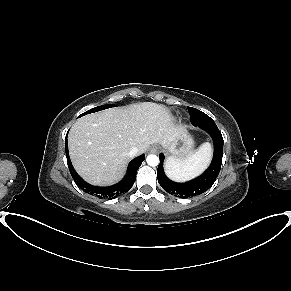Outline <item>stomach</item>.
Returning a JSON list of instances; mask_svg holds the SVG:
<instances>
[{"label":"stomach","mask_w":291,"mask_h":291,"mask_svg":"<svg viewBox=\"0 0 291 291\" xmlns=\"http://www.w3.org/2000/svg\"><path fill=\"white\" fill-rule=\"evenodd\" d=\"M193 147V139L186 133L176 138L172 144L166 148L170 157L185 158Z\"/></svg>","instance_id":"stomach-1"}]
</instances>
